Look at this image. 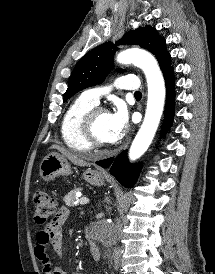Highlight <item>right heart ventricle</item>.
<instances>
[{
	"instance_id": "e07e8e85",
	"label": "right heart ventricle",
	"mask_w": 215,
	"mask_h": 274,
	"mask_svg": "<svg viewBox=\"0 0 215 274\" xmlns=\"http://www.w3.org/2000/svg\"><path fill=\"white\" fill-rule=\"evenodd\" d=\"M96 103L89 100L84 94L75 98L66 109L61 121V135L65 144L76 151H88L91 149L81 131L83 116Z\"/></svg>"
}]
</instances>
